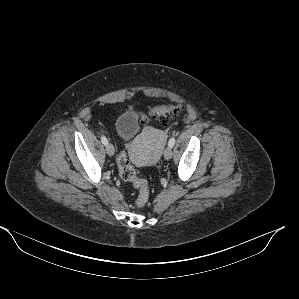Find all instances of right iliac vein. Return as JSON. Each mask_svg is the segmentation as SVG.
Instances as JSON below:
<instances>
[{
	"mask_svg": "<svg viewBox=\"0 0 299 299\" xmlns=\"http://www.w3.org/2000/svg\"><path fill=\"white\" fill-rule=\"evenodd\" d=\"M106 152L109 156H113L115 153L114 146L111 143L106 144Z\"/></svg>",
	"mask_w": 299,
	"mask_h": 299,
	"instance_id": "right-iliac-vein-1",
	"label": "right iliac vein"
}]
</instances>
